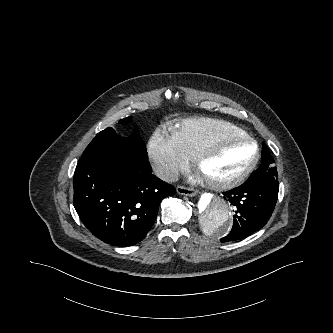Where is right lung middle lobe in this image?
Wrapping results in <instances>:
<instances>
[{"instance_id": "dd1d6c3e", "label": "right lung middle lobe", "mask_w": 333, "mask_h": 333, "mask_svg": "<svg viewBox=\"0 0 333 333\" xmlns=\"http://www.w3.org/2000/svg\"><path fill=\"white\" fill-rule=\"evenodd\" d=\"M130 118L120 120L126 123ZM123 157L133 161H148L145 142L137 132L128 138L117 135L112 128H107L96 135L82 154L85 158Z\"/></svg>"}]
</instances>
